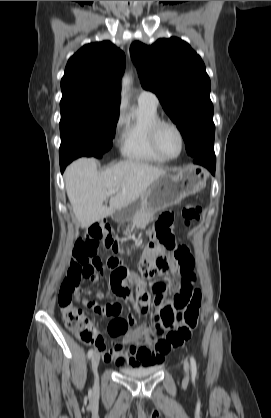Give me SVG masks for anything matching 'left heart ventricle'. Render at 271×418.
<instances>
[{"label": "left heart ventricle", "instance_id": "left-heart-ventricle-1", "mask_svg": "<svg viewBox=\"0 0 271 418\" xmlns=\"http://www.w3.org/2000/svg\"><path fill=\"white\" fill-rule=\"evenodd\" d=\"M159 144L165 154L175 156L180 149V141L177 133L170 127H164L159 133Z\"/></svg>", "mask_w": 271, "mask_h": 418}]
</instances>
